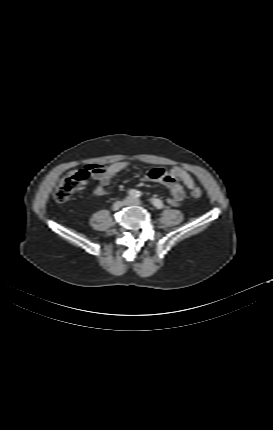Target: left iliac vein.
Returning <instances> with one entry per match:
<instances>
[{
	"instance_id": "4c4485c4",
	"label": "left iliac vein",
	"mask_w": 273,
	"mask_h": 430,
	"mask_svg": "<svg viewBox=\"0 0 273 430\" xmlns=\"http://www.w3.org/2000/svg\"><path fill=\"white\" fill-rule=\"evenodd\" d=\"M125 204L126 205H141L142 202L139 199H134V198H127L125 200Z\"/></svg>"
}]
</instances>
